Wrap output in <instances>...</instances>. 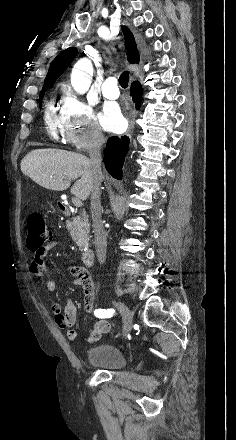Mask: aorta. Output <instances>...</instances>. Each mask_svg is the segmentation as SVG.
Returning a JSON list of instances; mask_svg holds the SVG:
<instances>
[{
    "label": "aorta",
    "instance_id": "aorta-1",
    "mask_svg": "<svg viewBox=\"0 0 236 440\" xmlns=\"http://www.w3.org/2000/svg\"><path fill=\"white\" fill-rule=\"evenodd\" d=\"M92 74L91 61L86 58L79 60L71 72L70 81L73 89L79 94H84L91 85Z\"/></svg>",
    "mask_w": 236,
    "mask_h": 440
}]
</instances>
